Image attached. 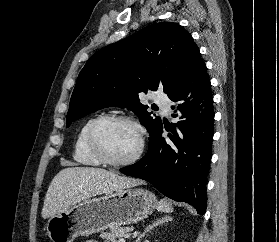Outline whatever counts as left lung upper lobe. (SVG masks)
Segmentation results:
<instances>
[{
    "mask_svg": "<svg viewBox=\"0 0 279 242\" xmlns=\"http://www.w3.org/2000/svg\"><path fill=\"white\" fill-rule=\"evenodd\" d=\"M198 51L191 34L171 22L148 26L97 51L79 73L67 126L89 113L117 106L136 113L151 139L162 122L147 112L139 94L162 87L169 96Z\"/></svg>",
    "mask_w": 279,
    "mask_h": 242,
    "instance_id": "left-lung-upper-lobe-1",
    "label": "left lung upper lobe"
}]
</instances>
